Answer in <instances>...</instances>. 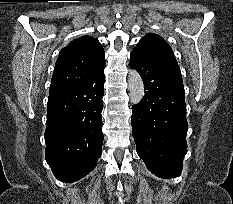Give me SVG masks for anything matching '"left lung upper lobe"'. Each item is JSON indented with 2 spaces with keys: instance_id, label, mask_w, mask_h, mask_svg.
Here are the masks:
<instances>
[{
  "instance_id": "1",
  "label": "left lung upper lobe",
  "mask_w": 233,
  "mask_h": 204,
  "mask_svg": "<svg viewBox=\"0 0 233 204\" xmlns=\"http://www.w3.org/2000/svg\"><path fill=\"white\" fill-rule=\"evenodd\" d=\"M134 50H138L162 61L178 65L170 46L157 34L149 33L145 35Z\"/></svg>"
}]
</instances>
